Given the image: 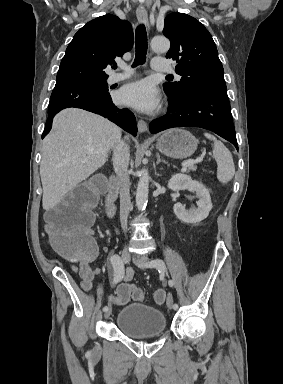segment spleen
Wrapping results in <instances>:
<instances>
[{"instance_id": "spleen-1", "label": "spleen", "mask_w": 283, "mask_h": 384, "mask_svg": "<svg viewBox=\"0 0 283 384\" xmlns=\"http://www.w3.org/2000/svg\"><path fill=\"white\" fill-rule=\"evenodd\" d=\"M208 140H213L214 142V148H213V156L217 162V178L219 182H222V184H227V182H230L232 180L234 174H235V166L232 158L231 152L227 150L226 146L222 144V142H219V140H216L214 136H211V134H204Z\"/></svg>"}]
</instances>
